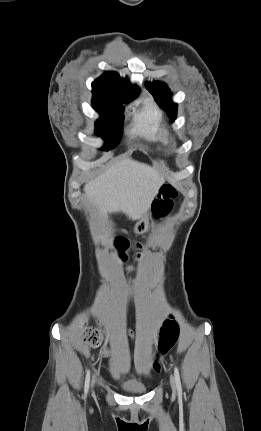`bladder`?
<instances>
[{
    "mask_svg": "<svg viewBox=\"0 0 261 431\" xmlns=\"http://www.w3.org/2000/svg\"><path fill=\"white\" fill-rule=\"evenodd\" d=\"M121 389L126 393L139 395L147 391V386L133 380H126L122 383Z\"/></svg>",
    "mask_w": 261,
    "mask_h": 431,
    "instance_id": "obj_1",
    "label": "bladder"
}]
</instances>
